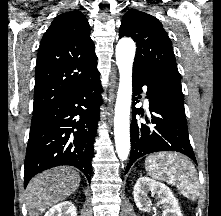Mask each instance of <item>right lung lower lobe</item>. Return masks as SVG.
<instances>
[{
    "label": "right lung lower lobe",
    "instance_id": "1",
    "mask_svg": "<svg viewBox=\"0 0 221 216\" xmlns=\"http://www.w3.org/2000/svg\"><path fill=\"white\" fill-rule=\"evenodd\" d=\"M101 92L98 76L36 115L27 145L24 187L37 173L60 165L80 169L90 182Z\"/></svg>",
    "mask_w": 221,
    "mask_h": 216
}]
</instances>
